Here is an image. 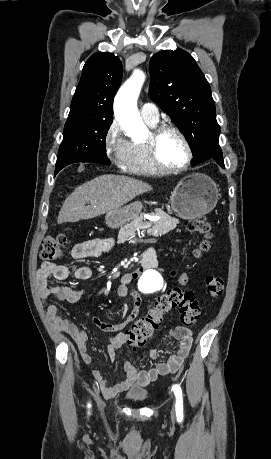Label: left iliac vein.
Returning a JSON list of instances; mask_svg holds the SVG:
<instances>
[{
    "label": "left iliac vein",
    "mask_w": 271,
    "mask_h": 459,
    "mask_svg": "<svg viewBox=\"0 0 271 459\" xmlns=\"http://www.w3.org/2000/svg\"><path fill=\"white\" fill-rule=\"evenodd\" d=\"M171 414H172V416H174L175 415V410H173Z\"/></svg>",
    "instance_id": "4c4485c4"
}]
</instances>
